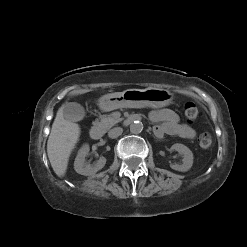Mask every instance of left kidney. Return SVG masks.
Returning a JSON list of instances; mask_svg holds the SVG:
<instances>
[{
    "mask_svg": "<svg viewBox=\"0 0 247 247\" xmlns=\"http://www.w3.org/2000/svg\"><path fill=\"white\" fill-rule=\"evenodd\" d=\"M172 150L178 151L181 155H183V163L181 165L175 164V165H170V167L176 171L180 172H186L188 171L192 165H193V153L192 151L185 145L176 143L172 145L171 147Z\"/></svg>",
    "mask_w": 247,
    "mask_h": 247,
    "instance_id": "obj_1",
    "label": "left kidney"
}]
</instances>
